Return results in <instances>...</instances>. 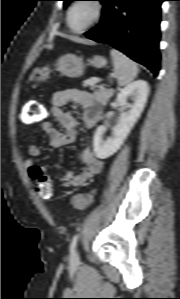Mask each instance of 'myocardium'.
<instances>
[{
	"instance_id": "f54148a6",
	"label": "myocardium",
	"mask_w": 180,
	"mask_h": 299,
	"mask_svg": "<svg viewBox=\"0 0 180 299\" xmlns=\"http://www.w3.org/2000/svg\"><path fill=\"white\" fill-rule=\"evenodd\" d=\"M81 3H89L94 10V14L92 19L83 27L81 28H73L70 24V15L72 10ZM104 16V5L100 0H75L68 8L66 13V24L69 30L73 33H83L90 28L96 26L98 23L101 22Z\"/></svg>"
}]
</instances>
